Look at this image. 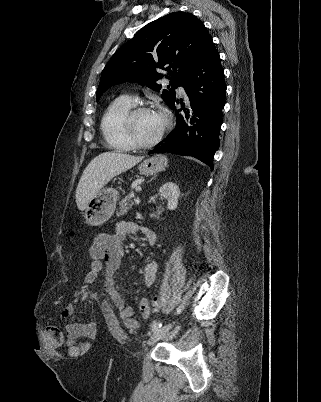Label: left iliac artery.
<instances>
[{"instance_id":"44dca946","label":"left iliac artery","mask_w":321,"mask_h":402,"mask_svg":"<svg viewBox=\"0 0 321 402\" xmlns=\"http://www.w3.org/2000/svg\"><path fill=\"white\" fill-rule=\"evenodd\" d=\"M182 307H183V305L180 306V308L177 309V313H179L181 311ZM161 326H162L161 322L154 323L153 326H152V331L158 330Z\"/></svg>"}]
</instances>
